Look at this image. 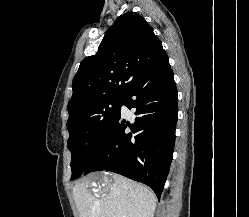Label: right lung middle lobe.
Segmentation results:
<instances>
[{
    "label": "right lung middle lobe",
    "mask_w": 249,
    "mask_h": 217,
    "mask_svg": "<svg viewBox=\"0 0 249 217\" xmlns=\"http://www.w3.org/2000/svg\"><path fill=\"white\" fill-rule=\"evenodd\" d=\"M125 97L89 103L69 114L67 146L72 154V179L83 174L87 157L101 142L118 116Z\"/></svg>",
    "instance_id": "1"
}]
</instances>
